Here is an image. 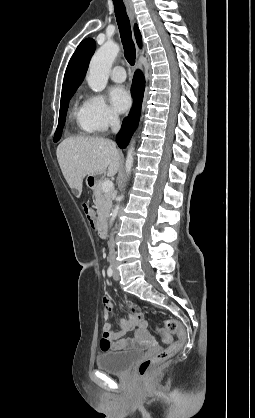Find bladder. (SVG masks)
Masks as SVG:
<instances>
[{
	"label": "bladder",
	"mask_w": 255,
	"mask_h": 418,
	"mask_svg": "<svg viewBox=\"0 0 255 418\" xmlns=\"http://www.w3.org/2000/svg\"><path fill=\"white\" fill-rule=\"evenodd\" d=\"M141 355L142 350L139 348H130L121 351H106L96 357V365L105 372L121 374L128 371Z\"/></svg>",
	"instance_id": "obj_1"
}]
</instances>
